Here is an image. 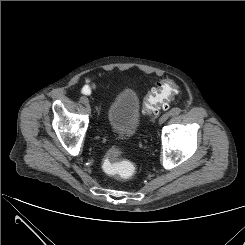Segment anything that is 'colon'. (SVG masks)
<instances>
[{
  "label": "colon",
  "instance_id": "obj_1",
  "mask_svg": "<svg viewBox=\"0 0 245 245\" xmlns=\"http://www.w3.org/2000/svg\"><path fill=\"white\" fill-rule=\"evenodd\" d=\"M177 94L176 85L172 80L159 81L147 94L144 101V111L155 114L161 107H165ZM105 174L119 179H128L134 173V165L127 160H120L117 152H111L102 162Z\"/></svg>",
  "mask_w": 245,
  "mask_h": 245
}]
</instances>
